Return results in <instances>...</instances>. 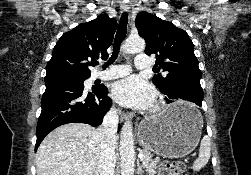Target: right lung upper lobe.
I'll return each mask as SVG.
<instances>
[{"instance_id":"1","label":"right lung upper lobe","mask_w":251,"mask_h":175,"mask_svg":"<svg viewBox=\"0 0 251 175\" xmlns=\"http://www.w3.org/2000/svg\"><path fill=\"white\" fill-rule=\"evenodd\" d=\"M117 22L104 14L64 33L53 48L46 66L45 82L70 78H88L89 66L108 57Z\"/></svg>"}]
</instances>
